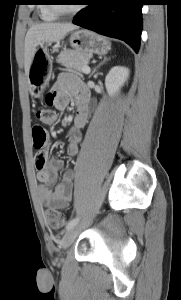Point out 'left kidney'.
<instances>
[{"instance_id":"5707ae66","label":"left kidney","mask_w":181,"mask_h":300,"mask_svg":"<svg viewBox=\"0 0 181 300\" xmlns=\"http://www.w3.org/2000/svg\"><path fill=\"white\" fill-rule=\"evenodd\" d=\"M129 78V69L123 66L113 67L105 78L108 94L114 96Z\"/></svg>"}]
</instances>
